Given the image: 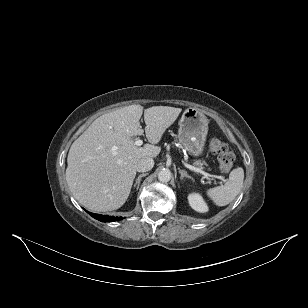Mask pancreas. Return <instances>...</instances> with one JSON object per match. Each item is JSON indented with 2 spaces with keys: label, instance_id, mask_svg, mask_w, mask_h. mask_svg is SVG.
<instances>
[{
  "label": "pancreas",
  "instance_id": "cf45deb5",
  "mask_svg": "<svg viewBox=\"0 0 308 308\" xmlns=\"http://www.w3.org/2000/svg\"><path fill=\"white\" fill-rule=\"evenodd\" d=\"M193 165L197 166V167H202L203 165H206V163H205V161L196 160V161H194Z\"/></svg>",
  "mask_w": 308,
  "mask_h": 308
}]
</instances>
